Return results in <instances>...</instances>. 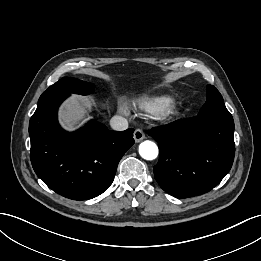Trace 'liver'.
<instances>
[{
  "label": "liver",
  "instance_id": "1",
  "mask_svg": "<svg viewBox=\"0 0 261 261\" xmlns=\"http://www.w3.org/2000/svg\"><path fill=\"white\" fill-rule=\"evenodd\" d=\"M87 115V103L79 96H72L59 110L60 124L66 130H74L87 121Z\"/></svg>",
  "mask_w": 261,
  "mask_h": 261
}]
</instances>
